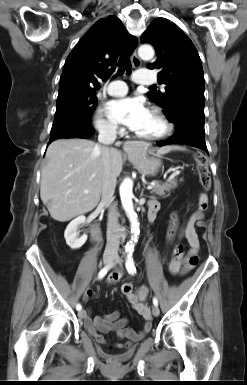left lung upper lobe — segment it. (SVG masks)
Segmentation results:
<instances>
[{
	"mask_svg": "<svg viewBox=\"0 0 247 385\" xmlns=\"http://www.w3.org/2000/svg\"><path fill=\"white\" fill-rule=\"evenodd\" d=\"M142 43L154 46L158 55L149 69H159L158 81L165 92L148 93L151 101L165 110L168 120L180 111L204 113V74L192 41L175 24L165 18L152 21L141 36Z\"/></svg>",
	"mask_w": 247,
	"mask_h": 385,
	"instance_id": "obj_1",
	"label": "left lung upper lobe"
}]
</instances>
